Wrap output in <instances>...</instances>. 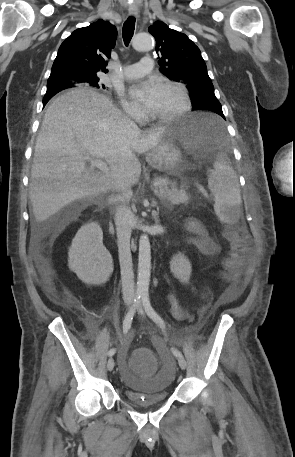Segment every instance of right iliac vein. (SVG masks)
Returning <instances> with one entry per match:
<instances>
[{"label": "right iliac vein", "mask_w": 295, "mask_h": 457, "mask_svg": "<svg viewBox=\"0 0 295 457\" xmlns=\"http://www.w3.org/2000/svg\"><path fill=\"white\" fill-rule=\"evenodd\" d=\"M130 305H131V301H127V302H126V307H127V309L130 308ZM114 365H115L114 359H113L112 357H110V358L108 359V362H107V369H108V371H112L113 368H114Z\"/></svg>", "instance_id": "obj_1"}]
</instances>
